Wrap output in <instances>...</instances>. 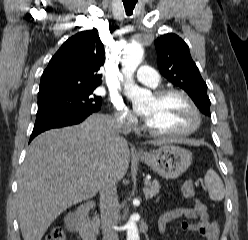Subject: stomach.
<instances>
[{
  "label": "stomach",
  "mask_w": 248,
  "mask_h": 240,
  "mask_svg": "<svg viewBox=\"0 0 248 240\" xmlns=\"http://www.w3.org/2000/svg\"><path fill=\"white\" fill-rule=\"evenodd\" d=\"M153 171L166 179H175L190 166L191 153L179 146L165 144L149 153L137 157Z\"/></svg>",
  "instance_id": "obj_1"
}]
</instances>
